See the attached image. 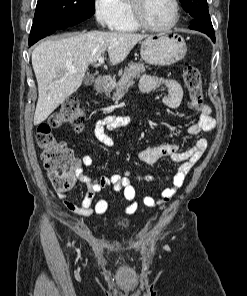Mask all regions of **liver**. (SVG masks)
<instances>
[{
  "mask_svg": "<svg viewBox=\"0 0 247 296\" xmlns=\"http://www.w3.org/2000/svg\"><path fill=\"white\" fill-rule=\"evenodd\" d=\"M146 35L90 31L49 39L32 52V66L38 83L34 125H39L81 86L85 72L105 51L112 65L124 61ZM75 69L70 72L69 69Z\"/></svg>",
  "mask_w": 247,
  "mask_h": 296,
  "instance_id": "1",
  "label": "liver"
}]
</instances>
